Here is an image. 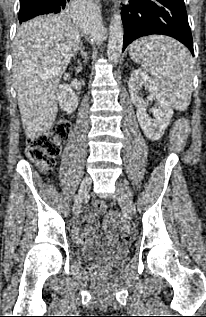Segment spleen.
Segmentation results:
<instances>
[{
    "instance_id": "3e777b00",
    "label": "spleen",
    "mask_w": 206,
    "mask_h": 317,
    "mask_svg": "<svg viewBox=\"0 0 206 317\" xmlns=\"http://www.w3.org/2000/svg\"><path fill=\"white\" fill-rule=\"evenodd\" d=\"M129 55L153 76L156 87L170 106L187 109L194 74L192 56L183 45L169 37L148 36L133 42Z\"/></svg>"
}]
</instances>
